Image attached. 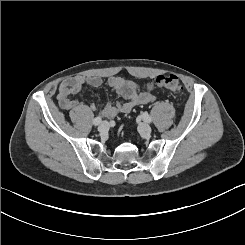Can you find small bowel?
<instances>
[{
	"label": "small bowel",
	"instance_id": "c3829d8e",
	"mask_svg": "<svg viewBox=\"0 0 245 245\" xmlns=\"http://www.w3.org/2000/svg\"><path fill=\"white\" fill-rule=\"evenodd\" d=\"M103 79L99 76H75L63 80L58 89V104L69 112V116L76 125L82 127L88 121L92 111L97 110L94 104L86 105L80 103L72 96L81 92L84 85L99 87ZM108 86L120 95L124 101L105 103L100 108V113L107 118H114L118 114L129 113L135 106L152 103L154 94L149 90L142 89L136 82L118 76L107 79Z\"/></svg>",
	"mask_w": 245,
	"mask_h": 245
}]
</instances>
